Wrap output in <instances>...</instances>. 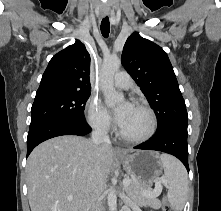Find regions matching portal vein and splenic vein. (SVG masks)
<instances>
[{
    "instance_id": "portal-vein-and-splenic-vein-1",
    "label": "portal vein and splenic vein",
    "mask_w": 221,
    "mask_h": 211,
    "mask_svg": "<svg viewBox=\"0 0 221 211\" xmlns=\"http://www.w3.org/2000/svg\"><path fill=\"white\" fill-rule=\"evenodd\" d=\"M129 184H130V179L124 178L123 180L124 187H127ZM161 191H162L161 182L156 181L154 190L148 189L146 191H143V194L147 197L154 198V197H157ZM71 200H72V197L71 196L68 197V201H71Z\"/></svg>"
}]
</instances>
